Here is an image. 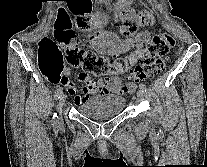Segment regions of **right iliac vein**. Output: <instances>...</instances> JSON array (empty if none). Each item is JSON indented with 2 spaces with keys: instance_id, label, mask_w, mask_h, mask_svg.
Wrapping results in <instances>:
<instances>
[{
  "instance_id": "1",
  "label": "right iliac vein",
  "mask_w": 207,
  "mask_h": 167,
  "mask_svg": "<svg viewBox=\"0 0 207 167\" xmlns=\"http://www.w3.org/2000/svg\"><path fill=\"white\" fill-rule=\"evenodd\" d=\"M65 101H66V96L64 94H61V96L59 98V102H58V109H59L60 114L62 113Z\"/></svg>"
}]
</instances>
